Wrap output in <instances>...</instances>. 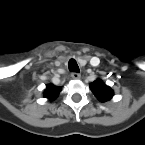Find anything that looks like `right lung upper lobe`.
Segmentation results:
<instances>
[{"label":"right lung upper lobe","instance_id":"1","mask_svg":"<svg viewBox=\"0 0 145 145\" xmlns=\"http://www.w3.org/2000/svg\"><path fill=\"white\" fill-rule=\"evenodd\" d=\"M47 89L44 92V96L49 100L55 99L59 92L61 91V87L54 86L52 84L46 86Z\"/></svg>","mask_w":145,"mask_h":145}]
</instances>
